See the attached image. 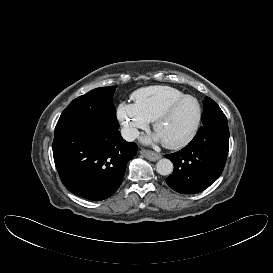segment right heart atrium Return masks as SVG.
Returning a JSON list of instances; mask_svg holds the SVG:
<instances>
[{
	"instance_id": "1",
	"label": "right heart atrium",
	"mask_w": 273,
	"mask_h": 273,
	"mask_svg": "<svg viewBox=\"0 0 273 273\" xmlns=\"http://www.w3.org/2000/svg\"><path fill=\"white\" fill-rule=\"evenodd\" d=\"M116 116L122 125L124 136L129 140L136 138L140 130L146 129L150 123L134 104L126 102H122L118 105Z\"/></svg>"
}]
</instances>
